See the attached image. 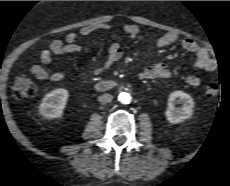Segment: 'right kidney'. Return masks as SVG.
I'll list each match as a JSON object with an SVG mask.
<instances>
[{
  "mask_svg": "<svg viewBox=\"0 0 230 186\" xmlns=\"http://www.w3.org/2000/svg\"><path fill=\"white\" fill-rule=\"evenodd\" d=\"M69 93L60 88L46 94L39 107V113L45 119H54L62 116Z\"/></svg>",
  "mask_w": 230,
  "mask_h": 186,
  "instance_id": "right-kidney-1",
  "label": "right kidney"
}]
</instances>
